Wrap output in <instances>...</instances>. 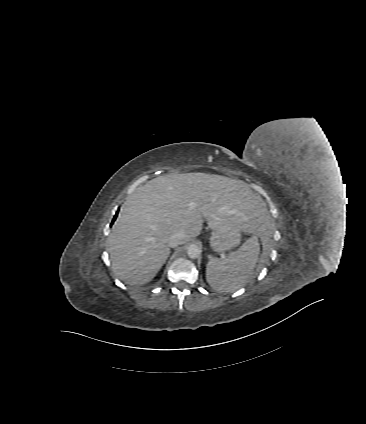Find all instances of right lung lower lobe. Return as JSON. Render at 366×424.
<instances>
[{
  "mask_svg": "<svg viewBox=\"0 0 366 424\" xmlns=\"http://www.w3.org/2000/svg\"><path fill=\"white\" fill-rule=\"evenodd\" d=\"M117 214H118V213H116V215L114 216V219H113L112 223L115 221V219H116V217H117ZM111 225H112V224H111Z\"/></svg>",
  "mask_w": 366,
  "mask_h": 424,
  "instance_id": "98d812e1",
  "label": "right lung lower lobe"
}]
</instances>
